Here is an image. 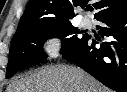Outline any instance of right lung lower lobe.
<instances>
[{
    "mask_svg": "<svg viewBox=\"0 0 127 92\" xmlns=\"http://www.w3.org/2000/svg\"><path fill=\"white\" fill-rule=\"evenodd\" d=\"M99 34L110 37L100 48L90 35L76 49L63 57L117 92H127V8L97 19ZM100 40V39H98Z\"/></svg>",
    "mask_w": 127,
    "mask_h": 92,
    "instance_id": "obj_1",
    "label": "right lung lower lobe"
}]
</instances>
